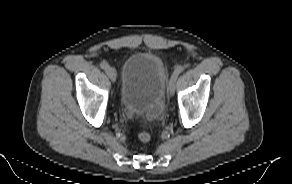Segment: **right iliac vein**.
<instances>
[{"mask_svg":"<svg viewBox=\"0 0 292 184\" xmlns=\"http://www.w3.org/2000/svg\"><path fill=\"white\" fill-rule=\"evenodd\" d=\"M106 73H107L108 77L111 79L112 82L116 81L117 73H116V70L114 68L109 67L106 70Z\"/></svg>","mask_w":292,"mask_h":184,"instance_id":"63e3f726","label":"right iliac vein"}]
</instances>
